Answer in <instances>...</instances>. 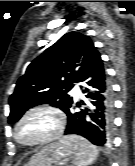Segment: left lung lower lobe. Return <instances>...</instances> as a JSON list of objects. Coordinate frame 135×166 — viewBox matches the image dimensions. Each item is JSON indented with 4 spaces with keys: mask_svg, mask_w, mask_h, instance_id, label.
Returning <instances> with one entry per match:
<instances>
[{
    "mask_svg": "<svg viewBox=\"0 0 135 166\" xmlns=\"http://www.w3.org/2000/svg\"><path fill=\"white\" fill-rule=\"evenodd\" d=\"M88 79L91 80L87 84L97 90L94 93H88L86 97L95 100L91 103L96 106V109L94 113H88V108L75 112L73 103L65 112L68 116L65 134L81 135L94 145L105 146L110 143L113 130V98L99 53L93 57L79 82ZM88 91V89L83 90L84 93ZM82 105H85L83 101ZM76 106L80 107L81 104L77 103Z\"/></svg>",
    "mask_w": 135,
    "mask_h": 166,
    "instance_id": "0a47b994",
    "label": "left lung lower lobe"
}]
</instances>
